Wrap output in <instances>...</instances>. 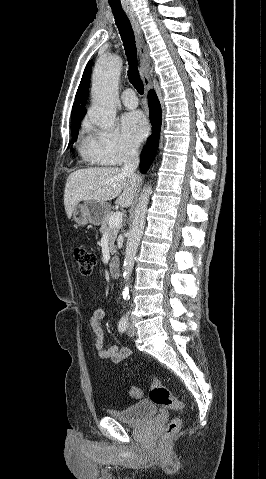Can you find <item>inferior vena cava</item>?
<instances>
[{
    "label": "inferior vena cava",
    "instance_id": "1",
    "mask_svg": "<svg viewBox=\"0 0 266 479\" xmlns=\"http://www.w3.org/2000/svg\"><path fill=\"white\" fill-rule=\"evenodd\" d=\"M139 165L138 150L134 146H130L124 155V165L122 167V172L125 174L133 175L134 171Z\"/></svg>",
    "mask_w": 266,
    "mask_h": 479
}]
</instances>
